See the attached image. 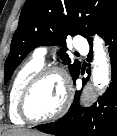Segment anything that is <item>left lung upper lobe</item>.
<instances>
[{"instance_id":"5c2ea615","label":"left lung upper lobe","mask_w":117,"mask_h":136,"mask_svg":"<svg viewBox=\"0 0 117 136\" xmlns=\"http://www.w3.org/2000/svg\"><path fill=\"white\" fill-rule=\"evenodd\" d=\"M116 18L117 0H27L4 65L5 84L34 48L41 45L64 47L68 34H80L92 43L91 35L101 36ZM60 58L68 65L72 78H76L80 62L71 63L65 52Z\"/></svg>"}]
</instances>
